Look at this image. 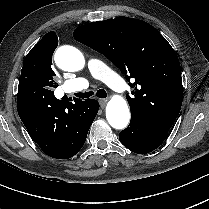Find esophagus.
<instances>
[{
    "mask_svg": "<svg viewBox=\"0 0 209 209\" xmlns=\"http://www.w3.org/2000/svg\"><path fill=\"white\" fill-rule=\"evenodd\" d=\"M99 102H100V104H101L102 107H105V105L108 102V99H100Z\"/></svg>",
    "mask_w": 209,
    "mask_h": 209,
    "instance_id": "esophagus-1",
    "label": "esophagus"
}]
</instances>
